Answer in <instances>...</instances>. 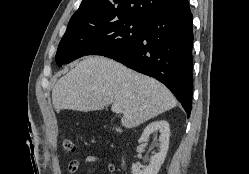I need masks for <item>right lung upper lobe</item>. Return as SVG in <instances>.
I'll list each match as a JSON object with an SVG mask.
<instances>
[{"instance_id": "1", "label": "right lung upper lobe", "mask_w": 249, "mask_h": 174, "mask_svg": "<svg viewBox=\"0 0 249 174\" xmlns=\"http://www.w3.org/2000/svg\"><path fill=\"white\" fill-rule=\"evenodd\" d=\"M188 0H82L67 30L121 18L146 20L161 12L188 7Z\"/></svg>"}]
</instances>
